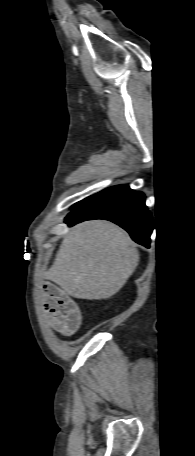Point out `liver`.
Here are the masks:
<instances>
[{"label": "liver", "instance_id": "liver-1", "mask_svg": "<svg viewBox=\"0 0 195 456\" xmlns=\"http://www.w3.org/2000/svg\"><path fill=\"white\" fill-rule=\"evenodd\" d=\"M139 262L130 236L108 221L76 225L63 239L46 278L78 299L101 300L126 284Z\"/></svg>", "mask_w": 195, "mask_h": 456}]
</instances>
